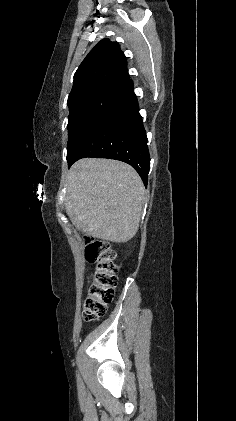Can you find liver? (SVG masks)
Returning a JSON list of instances; mask_svg holds the SVG:
<instances>
[{"instance_id": "1", "label": "liver", "mask_w": 236, "mask_h": 421, "mask_svg": "<svg viewBox=\"0 0 236 421\" xmlns=\"http://www.w3.org/2000/svg\"><path fill=\"white\" fill-rule=\"evenodd\" d=\"M145 186L136 170L110 158H81L67 174L66 213L87 237L126 243L140 223Z\"/></svg>"}]
</instances>
